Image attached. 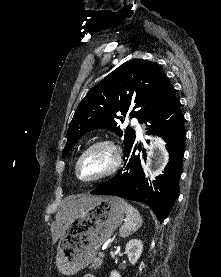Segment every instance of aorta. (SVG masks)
I'll return each instance as SVG.
<instances>
[{
  "label": "aorta",
  "instance_id": "762f6f07",
  "mask_svg": "<svg viewBox=\"0 0 221 277\" xmlns=\"http://www.w3.org/2000/svg\"><path fill=\"white\" fill-rule=\"evenodd\" d=\"M168 160V155L166 151H161L160 154L158 155V157L155 159L154 164H153V168L155 170H159L161 168H163L166 164Z\"/></svg>",
  "mask_w": 221,
  "mask_h": 277
}]
</instances>
